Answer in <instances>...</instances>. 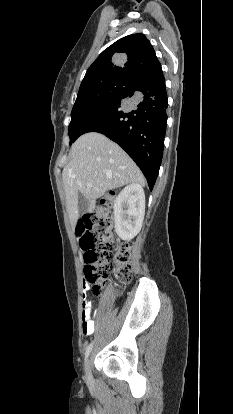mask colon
Returning <instances> with one entry per match:
<instances>
[{"label": "colon", "mask_w": 233, "mask_h": 414, "mask_svg": "<svg viewBox=\"0 0 233 414\" xmlns=\"http://www.w3.org/2000/svg\"><path fill=\"white\" fill-rule=\"evenodd\" d=\"M112 195L100 200L96 211L79 221L77 235L85 251L84 278L95 295H99L105 281L112 271V262L117 264L116 278L121 285L132 279L130 261V242L116 241L112 232L113 214Z\"/></svg>", "instance_id": "5ec220e1"}]
</instances>
